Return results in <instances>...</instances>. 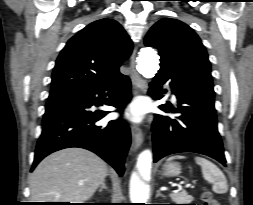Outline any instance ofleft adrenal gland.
I'll list each match as a JSON object with an SVG mask.
<instances>
[{
	"mask_svg": "<svg viewBox=\"0 0 253 205\" xmlns=\"http://www.w3.org/2000/svg\"><path fill=\"white\" fill-rule=\"evenodd\" d=\"M158 196H162V197H164V195L161 193V191H160V190H157L156 197H158Z\"/></svg>",
	"mask_w": 253,
	"mask_h": 205,
	"instance_id": "obj_1",
	"label": "left adrenal gland"
}]
</instances>
